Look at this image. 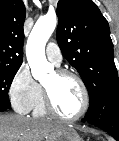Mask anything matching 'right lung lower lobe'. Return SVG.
Here are the masks:
<instances>
[{"label": "right lung lower lobe", "mask_w": 119, "mask_h": 141, "mask_svg": "<svg viewBox=\"0 0 119 141\" xmlns=\"http://www.w3.org/2000/svg\"><path fill=\"white\" fill-rule=\"evenodd\" d=\"M9 107L10 106H5V105L0 104V112L5 111Z\"/></svg>", "instance_id": "1"}]
</instances>
